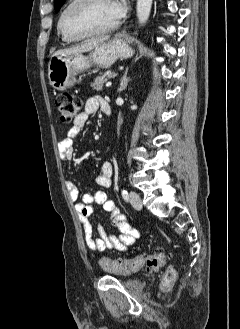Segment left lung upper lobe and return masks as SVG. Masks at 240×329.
Segmentation results:
<instances>
[{
	"label": "left lung upper lobe",
	"mask_w": 240,
	"mask_h": 329,
	"mask_svg": "<svg viewBox=\"0 0 240 329\" xmlns=\"http://www.w3.org/2000/svg\"><path fill=\"white\" fill-rule=\"evenodd\" d=\"M64 2H65V0H54L55 10L58 11L62 7Z\"/></svg>",
	"instance_id": "left-lung-upper-lobe-1"
}]
</instances>
